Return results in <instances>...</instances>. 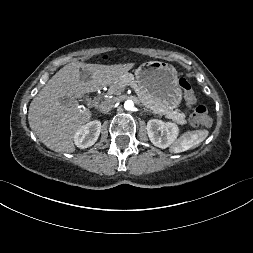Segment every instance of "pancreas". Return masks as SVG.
Segmentation results:
<instances>
[{
  "label": "pancreas",
  "mask_w": 253,
  "mask_h": 253,
  "mask_svg": "<svg viewBox=\"0 0 253 253\" xmlns=\"http://www.w3.org/2000/svg\"><path fill=\"white\" fill-rule=\"evenodd\" d=\"M131 86L142 104L152 110L153 112L165 115L167 118H171L178 122L180 125H185L187 121L185 120V114L180 112L179 109L171 110L163 106L157 99L153 98L151 95L145 93L138 86L134 76L132 74L126 73L122 75L116 82H114L108 89L109 95H119L125 88V86Z\"/></svg>",
  "instance_id": "1"
}]
</instances>
